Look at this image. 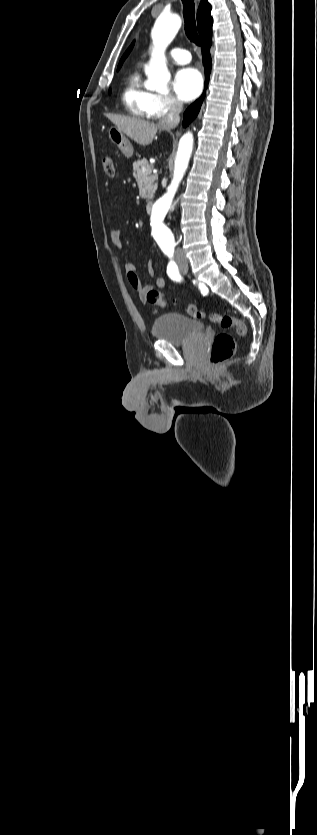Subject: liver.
<instances>
[{
  "instance_id": "obj_1",
  "label": "liver",
  "mask_w": 317,
  "mask_h": 835,
  "mask_svg": "<svg viewBox=\"0 0 317 835\" xmlns=\"http://www.w3.org/2000/svg\"><path fill=\"white\" fill-rule=\"evenodd\" d=\"M106 117L130 139L142 146L151 144L158 130H164L160 127L159 123L155 124L145 120L113 114H106Z\"/></svg>"
}]
</instances>
